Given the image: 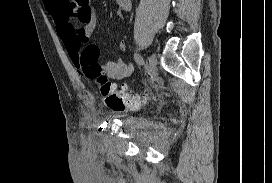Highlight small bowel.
Wrapping results in <instances>:
<instances>
[{"instance_id": "obj_1", "label": "small bowel", "mask_w": 272, "mask_h": 183, "mask_svg": "<svg viewBox=\"0 0 272 183\" xmlns=\"http://www.w3.org/2000/svg\"><path fill=\"white\" fill-rule=\"evenodd\" d=\"M122 11L131 8V0H116ZM47 12L53 17L59 37L69 52L72 61L78 63L83 46L96 27L95 8L90 0H43ZM76 24L79 25L76 28ZM121 51L126 49L124 41L119 43ZM103 71L112 80L120 81L131 77L134 68L122 60L107 61ZM125 88V86H123Z\"/></svg>"}]
</instances>
